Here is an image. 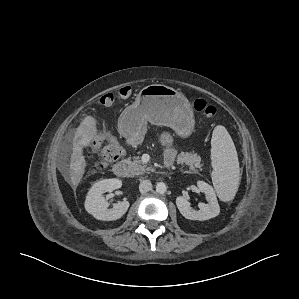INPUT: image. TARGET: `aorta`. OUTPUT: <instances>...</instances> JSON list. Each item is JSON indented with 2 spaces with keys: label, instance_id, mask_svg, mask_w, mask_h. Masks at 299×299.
<instances>
[{
  "label": "aorta",
  "instance_id": "aorta-1",
  "mask_svg": "<svg viewBox=\"0 0 299 299\" xmlns=\"http://www.w3.org/2000/svg\"><path fill=\"white\" fill-rule=\"evenodd\" d=\"M167 190V186L165 183L163 182H159L157 183L156 185V191L159 193V194H164Z\"/></svg>",
  "mask_w": 299,
  "mask_h": 299
}]
</instances>
